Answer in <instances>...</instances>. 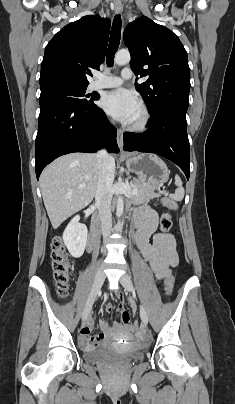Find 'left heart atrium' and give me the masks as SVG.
<instances>
[{
	"mask_svg": "<svg viewBox=\"0 0 235 404\" xmlns=\"http://www.w3.org/2000/svg\"><path fill=\"white\" fill-rule=\"evenodd\" d=\"M101 106L117 120L131 123L139 113L141 103L134 93L117 89L104 95Z\"/></svg>",
	"mask_w": 235,
	"mask_h": 404,
	"instance_id": "left-heart-atrium-1",
	"label": "left heart atrium"
}]
</instances>
